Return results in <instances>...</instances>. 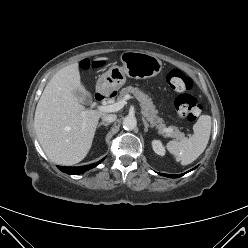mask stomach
Listing matches in <instances>:
<instances>
[{
    "instance_id": "1",
    "label": "stomach",
    "mask_w": 248,
    "mask_h": 248,
    "mask_svg": "<svg viewBox=\"0 0 248 248\" xmlns=\"http://www.w3.org/2000/svg\"><path fill=\"white\" fill-rule=\"evenodd\" d=\"M120 60L122 66L113 65L99 77L96 85L98 92L111 94L126 83L127 77L146 79L158 75L162 70L161 60L143 52L125 51Z\"/></svg>"
}]
</instances>
